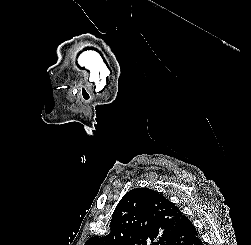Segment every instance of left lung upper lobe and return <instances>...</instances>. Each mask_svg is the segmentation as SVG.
Here are the masks:
<instances>
[{
    "mask_svg": "<svg viewBox=\"0 0 251 245\" xmlns=\"http://www.w3.org/2000/svg\"><path fill=\"white\" fill-rule=\"evenodd\" d=\"M184 217L158 192L135 188L115 208L109 233L93 236L85 245H166L170 236L183 227Z\"/></svg>",
    "mask_w": 251,
    "mask_h": 245,
    "instance_id": "obj_1",
    "label": "left lung upper lobe"
}]
</instances>
